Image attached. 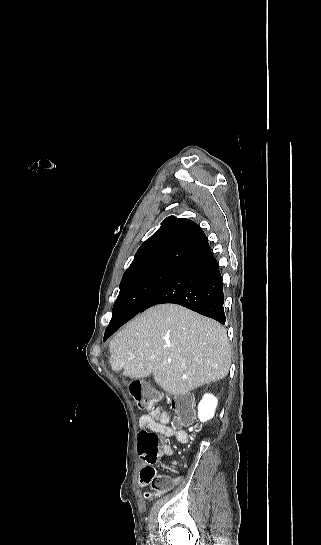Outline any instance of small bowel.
<instances>
[{
  "label": "small bowel",
  "mask_w": 321,
  "mask_h": 545,
  "mask_svg": "<svg viewBox=\"0 0 321 545\" xmlns=\"http://www.w3.org/2000/svg\"><path fill=\"white\" fill-rule=\"evenodd\" d=\"M170 421V416L165 411L156 409L151 413L140 417L139 427L140 429L148 428L164 438L175 437L179 442L186 443L188 441L187 432L184 429L169 426ZM160 453L161 455L169 456L172 454V448L168 444L163 443ZM144 460L145 466L141 469L139 476V485L141 487L149 484L150 476L156 474L154 468L156 459L147 460L144 458ZM171 463L176 464L175 461H171Z\"/></svg>",
  "instance_id": "obj_1"
}]
</instances>
